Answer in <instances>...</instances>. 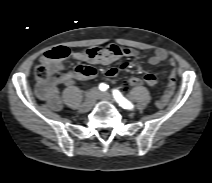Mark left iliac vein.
<instances>
[{"instance_id": "left-iliac-vein-1", "label": "left iliac vein", "mask_w": 212, "mask_h": 183, "mask_svg": "<svg viewBox=\"0 0 212 183\" xmlns=\"http://www.w3.org/2000/svg\"><path fill=\"white\" fill-rule=\"evenodd\" d=\"M98 98L99 99H103V100H107V101H110V102H113V97L109 93H107V92L100 93Z\"/></svg>"}]
</instances>
